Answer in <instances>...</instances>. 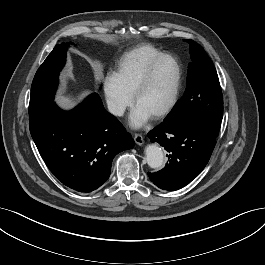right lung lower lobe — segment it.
I'll list each match as a JSON object with an SVG mask.
<instances>
[{
    "label": "right lung lower lobe",
    "mask_w": 265,
    "mask_h": 265,
    "mask_svg": "<svg viewBox=\"0 0 265 265\" xmlns=\"http://www.w3.org/2000/svg\"><path fill=\"white\" fill-rule=\"evenodd\" d=\"M29 128L50 171L78 192L100 187L109 178L113 158L134 146L131 135L104 109L96 93L72 111L51 104L29 119Z\"/></svg>",
    "instance_id": "right-lung-lower-lobe-1"
}]
</instances>
